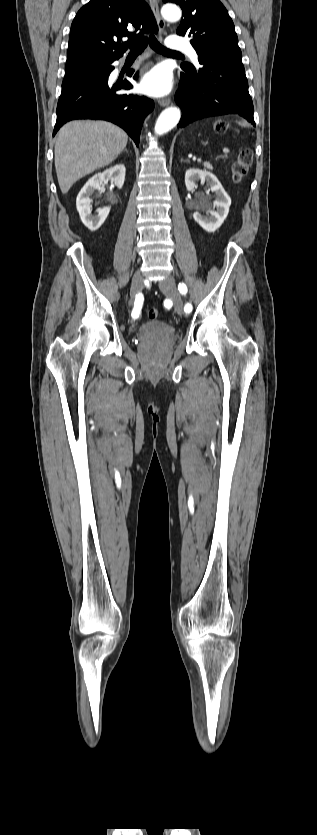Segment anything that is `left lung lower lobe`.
I'll return each instance as SVG.
<instances>
[{
	"label": "left lung lower lobe",
	"instance_id": "obj_1",
	"mask_svg": "<svg viewBox=\"0 0 317 835\" xmlns=\"http://www.w3.org/2000/svg\"><path fill=\"white\" fill-rule=\"evenodd\" d=\"M198 68L182 66L176 103L183 110L178 128L193 121L236 114L256 126L241 56L198 53Z\"/></svg>",
	"mask_w": 317,
	"mask_h": 835
}]
</instances>
